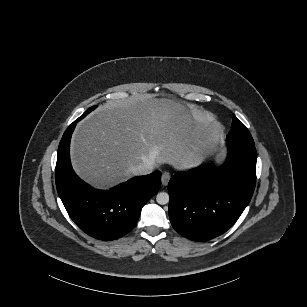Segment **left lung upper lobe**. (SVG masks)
I'll use <instances>...</instances> for the list:
<instances>
[{"instance_id": "5c2ea615", "label": "left lung upper lobe", "mask_w": 307, "mask_h": 307, "mask_svg": "<svg viewBox=\"0 0 307 307\" xmlns=\"http://www.w3.org/2000/svg\"><path fill=\"white\" fill-rule=\"evenodd\" d=\"M227 139L251 143L254 142L248 129L236 117L233 118L232 128L227 136Z\"/></svg>"}]
</instances>
